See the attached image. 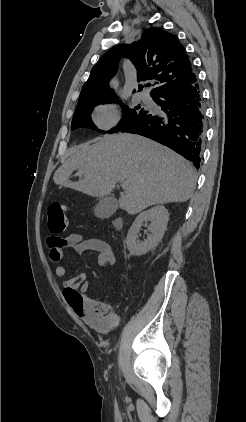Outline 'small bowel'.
<instances>
[{
	"label": "small bowel",
	"mask_w": 246,
	"mask_h": 422,
	"mask_svg": "<svg viewBox=\"0 0 246 422\" xmlns=\"http://www.w3.org/2000/svg\"><path fill=\"white\" fill-rule=\"evenodd\" d=\"M48 247L49 258L54 263L64 257L68 248L73 249L77 254L89 250L97 252L98 262L104 268L113 267L117 262L116 254L109 243L97 238L83 239L80 234H71L65 238L51 236L48 239ZM54 274L58 278H63L67 275V269L65 266L58 265ZM62 287L67 303L92 328L106 332L117 323L118 318L112 312L109 302L85 295L88 290L85 273L64 281Z\"/></svg>",
	"instance_id": "1"
}]
</instances>
